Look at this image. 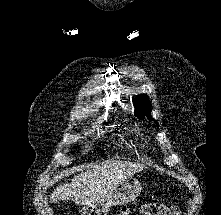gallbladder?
I'll return each instance as SVG.
<instances>
[{"label": "gallbladder", "instance_id": "1", "mask_svg": "<svg viewBox=\"0 0 221 215\" xmlns=\"http://www.w3.org/2000/svg\"><path fill=\"white\" fill-rule=\"evenodd\" d=\"M51 211H52V210H51V209H49V215H52V214H51Z\"/></svg>", "mask_w": 221, "mask_h": 215}]
</instances>
